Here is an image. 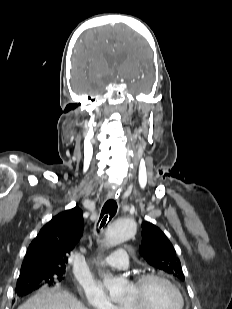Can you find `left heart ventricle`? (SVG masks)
<instances>
[{"instance_id": "1", "label": "left heart ventricle", "mask_w": 232, "mask_h": 309, "mask_svg": "<svg viewBox=\"0 0 232 309\" xmlns=\"http://www.w3.org/2000/svg\"><path fill=\"white\" fill-rule=\"evenodd\" d=\"M123 303L141 304L145 309H178L180 302L169 285L151 280L140 290L131 285Z\"/></svg>"}]
</instances>
